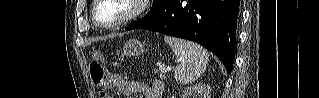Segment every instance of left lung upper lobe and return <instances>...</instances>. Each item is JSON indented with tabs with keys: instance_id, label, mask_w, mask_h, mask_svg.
Masks as SVG:
<instances>
[{
	"instance_id": "5c2ea615",
	"label": "left lung upper lobe",
	"mask_w": 319,
	"mask_h": 98,
	"mask_svg": "<svg viewBox=\"0 0 319 98\" xmlns=\"http://www.w3.org/2000/svg\"><path fill=\"white\" fill-rule=\"evenodd\" d=\"M165 0H154L150 12L143 18L131 23L132 26H145L157 20L163 14V3Z\"/></svg>"
}]
</instances>
